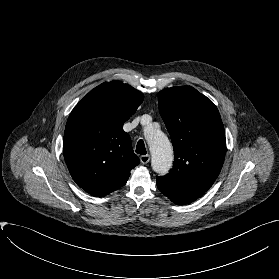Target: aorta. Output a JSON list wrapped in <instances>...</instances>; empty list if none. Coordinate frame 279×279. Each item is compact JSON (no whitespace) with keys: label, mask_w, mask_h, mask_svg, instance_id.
I'll return each instance as SVG.
<instances>
[{"label":"aorta","mask_w":279,"mask_h":279,"mask_svg":"<svg viewBox=\"0 0 279 279\" xmlns=\"http://www.w3.org/2000/svg\"><path fill=\"white\" fill-rule=\"evenodd\" d=\"M144 135L152 156V169L159 174L168 172L173 163V150L169 139L151 124L145 127Z\"/></svg>","instance_id":"obj_1"}]
</instances>
